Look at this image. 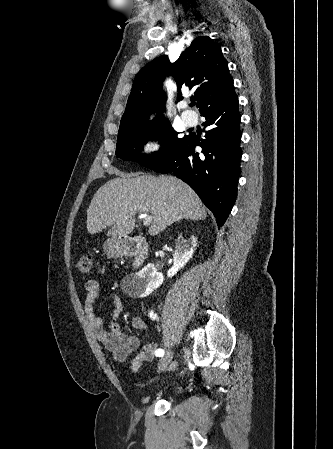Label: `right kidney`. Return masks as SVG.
Returning a JSON list of instances; mask_svg holds the SVG:
<instances>
[{"label": "right kidney", "instance_id": "ca27d5eb", "mask_svg": "<svg viewBox=\"0 0 333 449\" xmlns=\"http://www.w3.org/2000/svg\"><path fill=\"white\" fill-rule=\"evenodd\" d=\"M191 244L193 247L188 249L187 244L178 245L176 247L175 253L173 255V266L168 270L167 277H173L177 272L183 268L189 260L192 258L194 253V247L196 246L197 238L191 236ZM135 287L136 294L139 297H146L151 294L154 290L162 285L165 278L162 273L157 272L154 264H148L142 270L135 274Z\"/></svg>", "mask_w": 333, "mask_h": 449}]
</instances>
